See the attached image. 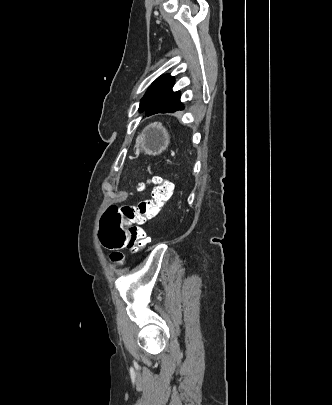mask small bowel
<instances>
[{"instance_id":"small-bowel-1","label":"small bowel","mask_w":332,"mask_h":405,"mask_svg":"<svg viewBox=\"0 0 332 405\" xmlns=\"http://www.w3.org/2000/svg\"><path fill=\"white\" fill-rule=\"evenodd\" d=\"M120 250V249H119ZM115 255H119V253H117V254H112V258H113V256H115Z\"/></svg>"}]
</instances>
